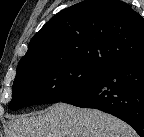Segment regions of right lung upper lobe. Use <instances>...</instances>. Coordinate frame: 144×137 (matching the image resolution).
Returning a JSON list of instances; mask_svg holds the SVG:
<instances>
[{
    "label": "right lung upper lobe",
    "instance_id": "obj_1",
    "mask_svg": "<svg viewBox=\"0 0 144 137\" xmlns=\"http://www.w3.org/2000/svg\"><path fill=\"white\" fill-rule=\"evenodd\" d=\"M144 51V19L119 0H85L52 17L32 38L18 67L80 61L109 70Z\"/></svg>",
    "mask_w": 144,
    "mask_h": 137
}]
</instances>
